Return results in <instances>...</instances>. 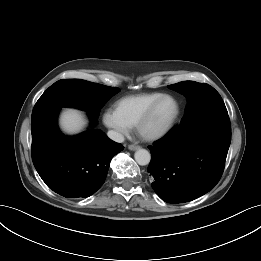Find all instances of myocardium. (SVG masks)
Returning <instances> with one entry per match:
<instances>
[{"instance_id": "f54148a6", "label": "myocardium", "mask_w": 261, "mask_h": 261, "mask_svg": "<svg viewBox=\"0 0 261 261\" xmlns=\"http://www.w3.org/2000/svg\"><path fill=\"white\" fill-rule=\"evenodd\" d=\"M166 99L171 100L174 103V112L165 122L163 126L154 131H147L146 127L154 116L158 106ZM180 113V106L175 97L169 94H163L157 98L140 117L135 125L136 132L140 138L146 141H155L164 137L174 126Z\"/></svg>"}]
</instances>
